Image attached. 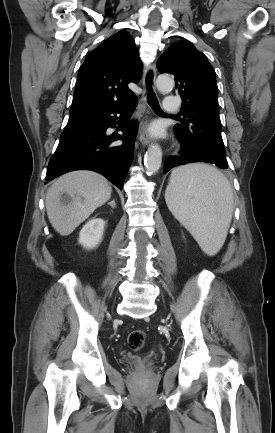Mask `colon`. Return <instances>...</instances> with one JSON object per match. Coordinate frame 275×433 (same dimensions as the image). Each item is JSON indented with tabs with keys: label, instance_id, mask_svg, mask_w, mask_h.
I'll return each mask as SVG.
<instances>
[{
	"label": "colon",
	"instance_id": "colon-1",
	"mask_svg": "<svg viewBox=\"0 0 275 433\" xmlns=\"http://www.w3.org/2000/svg\"><path fill=\"white\" fill-rule=\"evenodd\" d=\"M145 340L146 334L143 330H134L128 336V346L133 351H139L143 348Z\"/></svg>",
	"mask_w": 275,
	"mask_h": 433
}]
</instances>
